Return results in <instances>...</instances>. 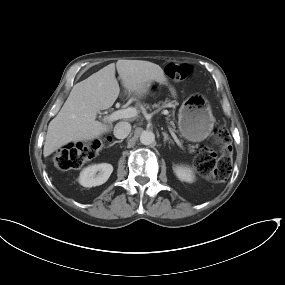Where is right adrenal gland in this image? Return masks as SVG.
<instances>
[{"label": "right adrenal gland", "instance_id": "obj_1", "mask_svg": "<svg viewBox=\"0 0 285 285\" xmlns=\"http://www.w3.org/2000/svg\"><path fill=\"white\" fill-rule=\"evenodd\" d=\"M122 141H123V140H119V141L116 140V141H114V142L111 144V146L114 145V144H116V143H121Z\"/></svg>", "mask_w": 285, "mask_h": 285}]
</instances>
